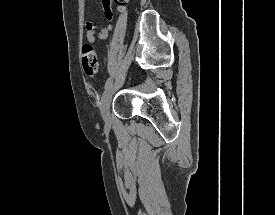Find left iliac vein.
I'll use <instances>...</instances> for the list:
<instances>
[{"mask_svg": "<svg viewBox=\"0 0 275 215\" xmlns=\"http://www.w3.org/2000/svg\"><path fill=\"white\" fill-rule=\"evenodd\" d=\"M117 83L111 84V86L105 90V92L102 95L101 98V105H100V111L101 115L103 117V120L107 126L111 124V117H110V104L112 100V96L117 89Z\"/></svg>", "mask_w": 275, "mask_h": 215, "instance_id": "4c4485c4", "label": "left iliac vein"}]
</instances>
